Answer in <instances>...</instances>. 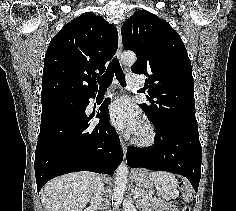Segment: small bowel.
I'll use <instances>...</instances> for the list:
<instances>
[{
	"mask_svg": "<svg viewBox=\"0 0 236 211\" xmlns=\"http://www.w3.org/2000/svg\"><path fill=\"white\" fill-rule=\"evenodd\" d=\"M144 211H175V209L166 205L163 201H157L154 208Z\"/></svg>",
	"mask_w": 236,
	"mask_h": 211,
	"instance_id": "obj_1",
	"label": "small bowel"
}]
</instances>
